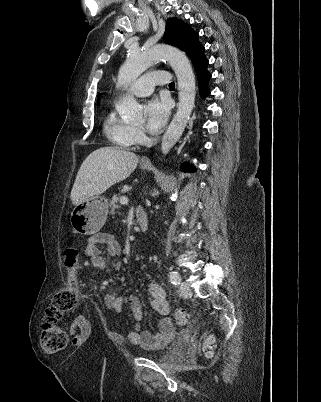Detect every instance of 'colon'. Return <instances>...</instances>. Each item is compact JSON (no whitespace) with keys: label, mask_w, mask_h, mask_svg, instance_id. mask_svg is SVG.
I'll return each mask as SVG.
<instances>
[{"label":"colon","mask_w":321,"mask_h":402,"mask_svg":"<svg viewBox=\"0 0 321 402\" xmlns=\"http://www.w3.org/2000/svg\"><path fill=\"white\" fill-rule=\"evenodd\" d=\"M65 263L70 272V286L54 294L41 326L40 345L42 350L47 354L57 353L67 347L69 335L58 325V322L66 313L73 311L77 305L76 288L80 289V286H78L76 277V269L78 267V252L76 248L71 246L66 249ZM174 316L177 323L181 326L188 322V316L182 310H176ZM214 342L213 337H208L205 340L204 349L208 356L212 355Z\"/></svg>","instance_id":"1"}]
</instances>
